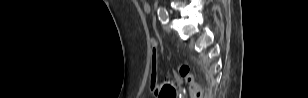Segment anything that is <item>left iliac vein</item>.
<instances>
[{
  "label": "left iliac vein",
  "instance_id": "4c4485c4",
  "mask_svg": "<svg viewBox=\"0 0 308 98\" xmlns=\"http://www.w3.org/2000/svg\"><path fill=\"white\" fill-rule=\"evenodd\" d=\"M163 28H164V30H165L166 32H170V31H171V27H170L169 23H165L164 26H163Z\"/></svg>",
  "mask_w": 308,
  "mask_h": 98
}]
</instances>
